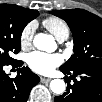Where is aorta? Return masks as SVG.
<instances>
[{
  "label": "aorta",
  "mask_w": 102,
  "mask_h": 102,
  "mask_svg": "<svg viewBox=\"0 0 102 102\" xmlns=\"http://www.w3.org/2000/svg\"><path fill=\"white\" fill-rule=\"evenodd\" d=\"M34 46L46 52H53L56 49V42L53 36L44 33L35 35L33 39ZM65 82L62 79H54L50 83L51 91L57 95H61L65 91Z\"/></svg>",
  "instance_id": "obj_1"
}]
</instances>
